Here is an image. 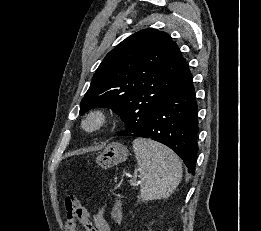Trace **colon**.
Returning <instances> with one entry per match:
<instances>
[{
    "label": "colon",
    "instance_id": "colon-1",
    "mask_svg": "<svg viewBox=\"0 0 261 231\" xmlns=\"http://www.w3.org/2000/svg\"><path fill=\"white\" fill-rule=\"evenodd\" d=\"M121 204L118 202L113 213L116 221L119 219ZM65 217L68 221H78L86 231H95L91 220L87 217L85 209L81 206L79 200L74 195H69L65 200Z\"/></svg>",
    "mask_w": 261,
    "mask_h": 231
}]
</instances>
